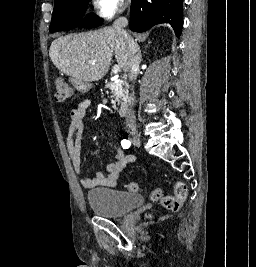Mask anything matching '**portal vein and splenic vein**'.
I'll return each mask as SVG.
<instances>
[{"instance_id": "obj_1", "label": "portal vein and splenic vein", "mask_w": 256, "mask_h": 267, "mask_svg": "<svg viewBox=\"0 0 256 267\" xmlns=\"http://www.w3.org/2000/svg\"><path fill=\"white\" fill-rule=\"evenodd\" d=\"M112 72L113 74H118V72H121L120 66H113Z\"/></svg>"}]
</instances>
